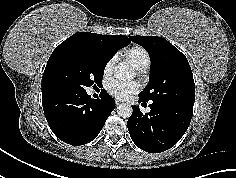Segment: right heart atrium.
<instances>
[{"mask_svg": "<svg viewBox=\"0 0 236 178\" xmlns=\"http://www.w3.org/2000/svg\"><path fill=\"white\" fill-rule=\"evenodd\" d=\"M115 62H116V57L115 56L111 57L106 62V64L104 65V69H103V73H104L105 76H109L112 73Z\"/></svg>", "mask_w": 236, "mask_h": 178, "instance_id": "right-heart-atrium-1", "label": "right heart atrium"}]
</instances>
